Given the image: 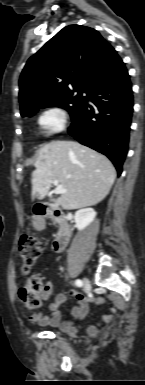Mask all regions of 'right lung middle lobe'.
I'll return each mask as SVG.
<instances>
[{"label": "right lung middle lobe", "mask_w": 145, "mask_h": 385, "mask_svg": "<svg viewBox=\"0 0 145 385\" xmlns=\"http://www.w3.org/2000/svg\"><path fill=\"white\" fill-rule=\"evenodd\" d=\"M74 91H78V94H76V95L73 94ZM82 92H86L87 94L89 93V91H87V90H73V91L65 93V94L51 100L47 104L40 106V107L44 108L46 106H53V105L59 106V107L66 109L70 113L71 118H73L77 114V112L80 109H82L83 106L87 102L88 96H87V98L82 97V95H81ZM38 108L39 107L32 108V109L24 112L21 115L22 116H32L37 111Z\"/></svg>", "instance_id": "right-lung-middle-lobe-1"}]
</instances>
